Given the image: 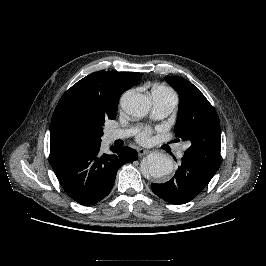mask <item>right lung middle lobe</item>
I'll return each mask as SVG.
<instances>
[{
  "mask_svg": "<svg viewBox=\"0 0 266 266\" xmlns=\"http://www.w3.org/2000/svg\"><path fill=\"white\" fill-rule=\"evenodd\" d=\"M116 116H100L93 121L77 120L73 125V133L76 143H98L103 135V125L105 119H114Z\"/></svg>",
  "mask_w": 266,
  "mask_h": 266,
  "instance_id": "obj_1",
  "label": "right lung middle lobe"
}]
</instances>
